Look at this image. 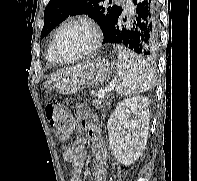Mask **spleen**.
<instances>
[{"instance_id":"1","label":"spleen","mask_w":197,"mask_h":181,"mask_svg":"<svg viewBox=\"0 0 197 181\" xmlns=\"http://www.w3.org/2000/svg\"><path fill=\"white\" fill-rule=\"evenodd\" d=\"M117 50V94L128 96L150 90L154 85V73L147 62L122 45H117Z\"/></svg>"}]
</instances>
